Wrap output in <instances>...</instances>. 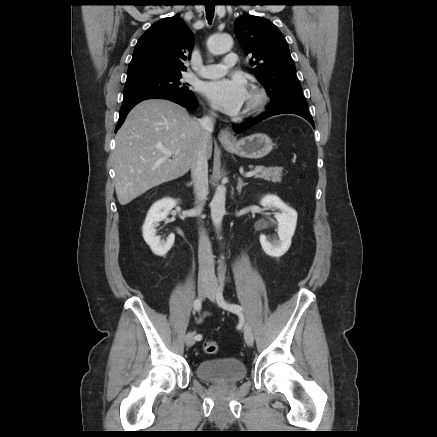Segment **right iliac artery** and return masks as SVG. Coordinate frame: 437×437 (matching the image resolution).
I'll return each mask as SVG.
<instances>
[{
	"label": "right iliac artery",
	"mask_w": 437,
	"mask_h": 437,
	"mask_svg": "<svg viewBox=\"0 0 437 437\" xmlns=\"http://www.w3.org/2000/svg\"><path fill=\"white\" fill-rule=\"evenodd\" d=\"M193 307H194V309H195L196 311H200V310H201V307H202L201 300H200V299H196V300L194 301ZM195 339H196L197 341H200V340L202 339V335H201V334L196 335V336H195Z\"/></svg>",
	"instance_id": "obj_1"
}]
</instances>
